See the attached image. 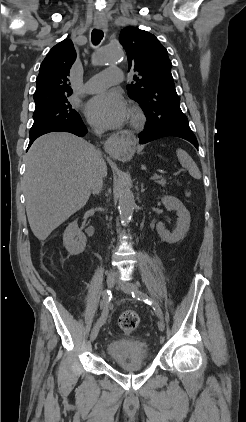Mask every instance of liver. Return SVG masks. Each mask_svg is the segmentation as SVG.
<instances>
[{
	"label": "liver",
	"instance_id": "obj_1",
	"mask_svg": "<svg viewBox=\"0 0 246 422\" xmlns=\"http://www.w3.org/2000/svg\"><path fill=\"white\" fill-rule=\"evenodd\" d=\"M94 147L70 133L39 137L26 155L24 191L33 234L44 241L89 200ZM102 168L107 174L106 163Z\"/></svg>",
	"mask_w": 246,
	"mask_h": 422
}]
</instances>
